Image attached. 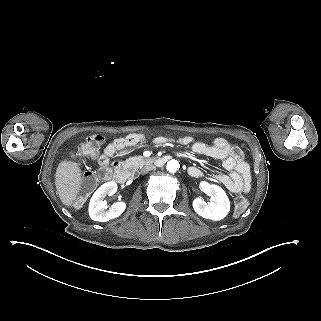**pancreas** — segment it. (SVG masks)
I'll return each instance as SVG.
<instances>
[{
  "label": "pancreas",
  "mask_w": 321,
  "mask_h": 321,
  "mask_svg": "<svg viewBox=\"0 0 321 321\" xmlns=\"http://www.w3.org/2000/svg\"><path fill=\"white\" fill-rule=\"evenodd\" d=\"M151 163V160L143 156H134L126 160L127 166L140 168L144 165Z\"/></svg>",
  "instance_id": "pancreas-1"
}]
</instances>
